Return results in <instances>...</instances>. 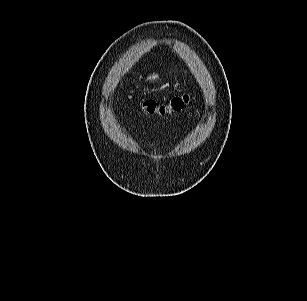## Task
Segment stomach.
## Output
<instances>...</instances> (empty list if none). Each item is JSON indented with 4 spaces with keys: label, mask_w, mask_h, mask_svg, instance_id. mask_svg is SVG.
Listing matches in <instances>:
<instances>
[{
    "label": "stomach",
    "mask_w": 307,
    "mask_h": 301,
    "mask_svg": "<svg viewBox=\"0 0 307 301\" xmlns=\"http://www.w3.org/2000/svg\"><path fill=\"white\" fill-rule=\"evenodd\" d=\"M158 77H159L158 74L153 73L147 77V81L154 82L155 80L158 79Z\"/></svg>",
    "instance_id": "obj_1"
}]
</instances>
